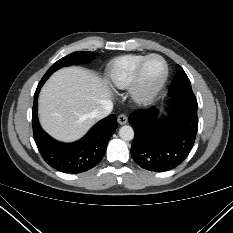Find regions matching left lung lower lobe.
I'll return each instance as SVG.
<instances>
[{"label": "left lung lower lobe", "mask_w": 233, "mask_h": 233, "mask_svg": "<svg viewBox=\"0 0 233 233\" xmlns=\"http://www.w3.org/2000/svg\"><path fill=\"white\" fill-rule=\"evenodd\" d=\"M195 95L175 94L165 122L156 119L155 109L136 110L129 116L135 131L133 160L150 171H167L181 164L195 142L198 117Z\"/></svg>", "instance_id": "obj_1"}]
</instances>
